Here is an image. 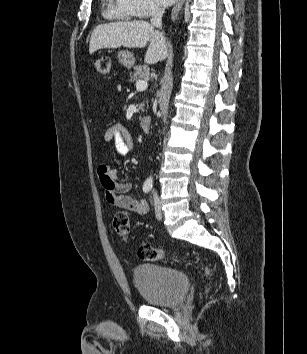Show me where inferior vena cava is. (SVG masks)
I'll list each match as a JSON object with an SVG mask.
<instances>
[{
	"label": "inferior vena cava",
	"instance_id": "obj_1",
	"mask_svg": "<svg viewBox=\"0 0 307 354\" xmlns=\"http://www.w3.org/2000/svg\"><path fill=\"white\" fill-rule=\"evenodd\" d=\"M164 13V8L162 6L156 5L152 8L151 12V24L158 28L162 27V16Z\"/></svg>",
	"mask_w": 307,
	"mask_h": 354
}]
</instances>
